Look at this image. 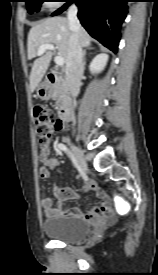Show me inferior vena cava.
<instances>
[{
  "label": "inferior vena cava",
  "instance_id": "obj_1",
  "mask_svg": "<svg viewBox=\"0 0 158 275\" xmlns=\"http://www.w3.org/2000/svg\"><path fill=\"white\" fill-rule=\"evenodd\" d=\"M78 8L71 5L67 12V18L71 29L69 48L66 62V83L72 97H76L80 91V81L84 72L83 51L79 43V31L81 28L77 18Z\"/></svg>",
  "mask_w": 158,
  "mask_h": 275
}]
</instances>
